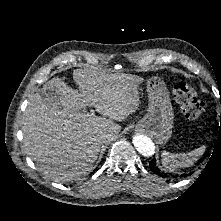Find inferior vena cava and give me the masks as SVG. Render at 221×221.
Listing matches in <instances>:
<instances>
[{
	"label": "inferior vena cava",
	"instance_id": "1",
	"mask_svg": "<svg viewBox=\"0 0 221 221\" xmlns=\"http://www.w3.org/2000/svg\"><path fill=\"white\" fill-rule=\"evenodd\" d=\"M102 137L105 138V139H109V138L113 139L110 133H103Z\"/></svg>",
	"mask_w": 221,
	"mask_h": 221
}]
</instances>
